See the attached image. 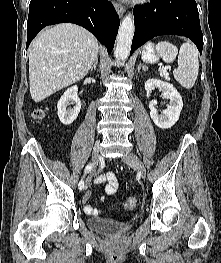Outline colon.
I'll return each mask as SVG.
<instances>
[{"mask_svg": "<svg viewBox=\"0 0 221 263\" xmlns=\"http://www.w3.org/2000/svg\"><path fill=\"white\" fill-rule=\"evenodd\" d=\"M44 117V113L42 110H36L33 113V118L36 121H41ZM139 205V200L136 196H130L124 199L122 202V208L125 211H133L135 210Z\"/></svg>", "mask_w": 221, "mask_h": 263, "instance_id": "colon-1", "label": "colon"}]
</instances>
